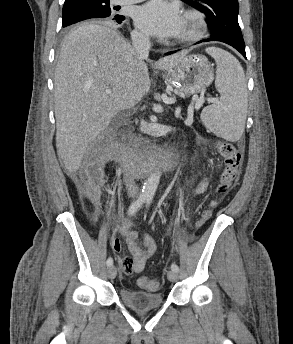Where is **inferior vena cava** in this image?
<instances>
[{
  "label": "inferior vena cava",
  "instance_id": "inferior-vena-cava-1",
  "mask_svg": "<svg viewBox=\"0 0 293 344\" xmlns=\"http://www.w3.org/2000/svg\"><path fill=\"white\" fill-rule=\"evenodd\" d=\"M131 39L137 59H147L149 55V49L151 47L149 35L135 31L131 33ZM122 101L124 104V109H134V106L136 104L135 94L129 85H127L123 90ZM129 146L131 150L136 149V144L134 141H130ZM124 182L129 196H135L137 194L138 188L134 182V179L128 172H126L124 175Z\"/></svg>",
  "mask_w": 293,
  "mask_h": 344
}]
</instances>
